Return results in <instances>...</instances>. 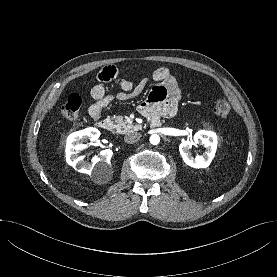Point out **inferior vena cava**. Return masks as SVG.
Segmentation results:
<instances>
[{"label":"inferior vena cava","instance_id":"inferior-vena-cava-1","mask_svg":"<svg viewBox=\"0 0 277 277\" xmlns=\"http://www.w3.org/2000/svg\"><path fill=\"white\" fill-rule=\"evenodd\" d=\"M141 138V134L138 132H131L125 135L124 140L128 144L137 142Z\"/></svg>","mask_w":277,"mask_h":277}]
</instances>
